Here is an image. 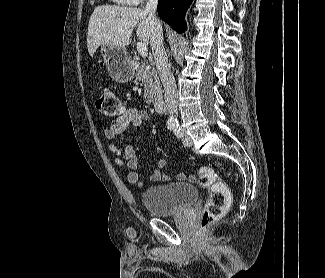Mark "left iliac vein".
Instances as JSON below:
<instances>
[{
  "label": "left iliac vein",
  "mask_w": 325,
  "mask_h": 278,
  "mask_svg": "<svg viewBox=\"0 0 325 278\" xmlns=\"http://www.w3.org/2000/svg\"><path fill=\"white\" fill-rule=\"evenodd\" d=\"M183 144L187 147H190L192 146V140H191V137L189 135H186L184 136L183 140H182Z\"/></svg>",
  "instance_id": "1"
}]
</instances>
